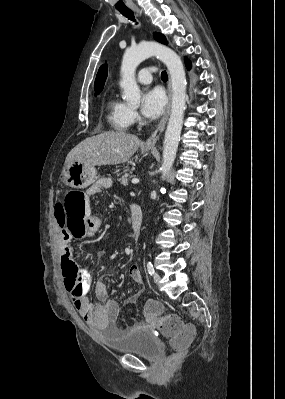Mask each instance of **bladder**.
Instances as JSON below:
<instances>
[{
  "label": "bladder",
  "mask_w": 285,
  "mask_h": 399,
  "mask_svg": "<svg viewBox=\"0 0 285 399\" xmlns=\"http://www.w3.org/2000/svg\"><path fill=\"white\" fill-rule=\"evenodd\" d=\"M103 338L105 345L116 352L157 358L162 350L156 337L143 327L128 328L122 333L104 332Z\"/></svg>",
  "instance_id": "bladder-1"
}]
</instances>
